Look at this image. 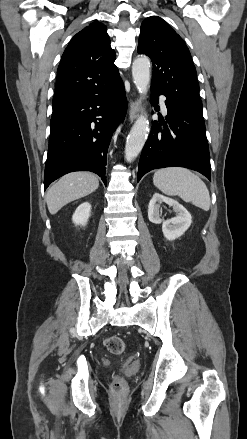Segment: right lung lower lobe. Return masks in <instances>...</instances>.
I'll list each match as a JSON object with an SVG mask.
<instances>
[{
  "instance_id": "right-lung-lower-lobe-1",
  "label": "right lung lower lobe",
  "mask_w": 247,
  "mask_h": 439,
  "mask_svg": "<svg viewBox=\"0 0 247 439\" xmlns=\"http://www.w3.org/2000/svg\"><path fill=\"white\" fill-rule=\"evenodd\" d=\"M125 95L119 80L107 92L75 102L52 115L45 189L73 171L94 172L106 185L107 150L118 119L126 114Z\"/></svg>"
}]
</instances>
